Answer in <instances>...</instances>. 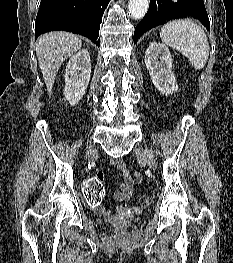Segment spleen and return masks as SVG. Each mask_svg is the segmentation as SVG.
<instances>
[{"mask_svg":"<svg viewBox=\"0 0 233 263\" xmlns=\"http://www.w3.org/2000/svg\"><path fill=\"white\" fill-rule=\"evenodd\" d=\"M160 38L185 56L194 69L205 67L210 50L208 39L204 30L192 20L179 19L165 24Z\"/></svg>","mask_w":233,"mask_h":263,"instance_id":"1","label":"spleen"}]
</instances>
